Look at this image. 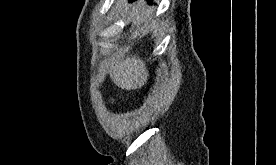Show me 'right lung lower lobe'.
Listing matches in <instances>:
<instances>
[{"label": "right lung lower lobe", "instance_id": "1", "mask_svg": "<svg viewBox=\"0 0 276 165\" xmlns=\"http://www.w3.org/2000/svg\"><path fill=\"white\" fill-rule=\"evenodd\" d=\"M132 1H135V0H130V2H132ZM149 1H151V0H149Z\"/></svg>", "mask_w": 276, "mask_h": 165}]
</instances>
